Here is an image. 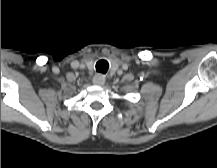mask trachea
I'll return each mask as SVG.
<instances>
[{
  "instance_id": "1",
  "label": "trachea",
  "mask_w": 217,
  "mask_h": 168,
  "mask_svg": "<svg viewBox=\"0 0 217 168\" xmlns=\"http://www.w3.org/2000/svg\"><path fill=\"white\" fill-rule=\"evenodd\" d=\"M109 68V64L106 60H99L96 63V71L105 74Z\"/></svg>"
}]
</instances>
